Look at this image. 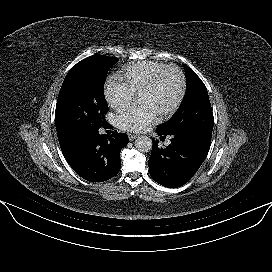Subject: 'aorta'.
<instances>
[{"mask_svg":"<svg viewBox=\"0 0 272 272\" xmlns=\"http://www.w3.org/2000/svg\"><path fill=\"white\" fill-rule=\"evenodd\" d=\"M135 147L139 151L147 153L152 149V140L148 136H139L135 140Z\"/></svg>","mask_w":272,"mask_h":272,"instance_id":"aorta-1","label":"aorta"}]
</instances>
